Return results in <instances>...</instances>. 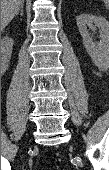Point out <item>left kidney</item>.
<instances>
[{
  "instance_id": "5707ae66",
  "label": "left kidney",
  "mask_w": 109,
  "mask_h": 170,
  "mask_svg": "<svg viewBox=\"0 0 109 170\" xmlns=\"http://www.w3.org/2000/svg\"><path fill=\"white\" fill-rule=\"evenodd\" d=\"M83 44L92 61L99 68L105 69L109 65V22L102 16L81 14L76 18ZM94 25L100 29L101 40L94 43L87 27L94 30Z\"/></svg>"
}]
</instances>
